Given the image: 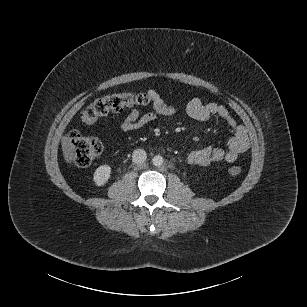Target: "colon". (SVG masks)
<instances>
[{
  "mask_svg": "<svg viewBox=\"0 0 307 307\" xmlns=\"http://www.w3.org/2000/svg\"><path fill=\"white\" fill-rule=\"evenodd\" d=\"M151 102L148 93H134L124 91L113 93L96 99L86 106L80 116L84 125H93L100 117L113 111H121L127 107L146 106ZM68 140L74 148V160L77 165L85 167L99 158L103 152L102 142L95 136L84 135L78 130H72L68 134ZM231 176L241 174V168L232 166L228 169Z\"/></svg>",
  "mask_w": 307,
  "mask_h": 307,
  "instance_id": "5ec220e1",
  "label": "colon"
}]
</instances>
